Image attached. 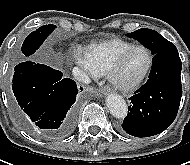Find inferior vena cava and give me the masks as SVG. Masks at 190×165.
<instances>
[{
	"instance_id": "602c4592",
	"label": "inferior vena cava",
	"mask_w": 190,
	"mask_h": 165,
	"mask_svg": "<svg viewBox=\"0 0 190 165\" xmlns=\"http://www.w3.org/2000/svg\"><path fill=\"white\" fill-rule=\"evenodd\" d=\"M72 72H73V76L76 80L81 81L85 84L90 83V79H89L88 75L85 72H83L81 69L75 67V68H73Z\"/></svg>"
}]
</instances>
